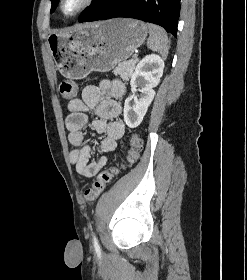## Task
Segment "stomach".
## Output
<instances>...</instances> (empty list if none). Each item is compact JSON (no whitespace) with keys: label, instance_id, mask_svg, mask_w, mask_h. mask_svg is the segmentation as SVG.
Here are the masks:
<instances>
[{"label":"stomach","instance_id":"0dacf381","mask_svg":"<svg viewBox=\"0 0 247 280\" xmlns=\"http://www.w3.org/2000/svg\"><path fill=\"white\" fill-rule=\"evenodd\" d=\"M147 33L142 21L116 18L52 34L47 42L60 73L82 79L92 71L108 72L127 60L142 45Z\"/></svg>","mask_w":247,"mask_h":280}]
</instances>
